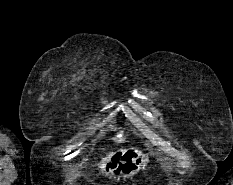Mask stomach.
<instances>
[{
    "mask_svg": "<svg viewBox=\"0 0 233 185\" xmlns=\"http://www.w3.org/2000/svg\"><path fill=\"white\" fill-rule=\"evenodd\" d=\"M148 157L136 148H125L114 152L105 165V173L114 178H131L143 169Z\"/></svg>",
    "mask_w": 233,
    "mask_h": 185,
    "instance_id": "obj_1",
    "label": "stomach"
}]
</instances>
